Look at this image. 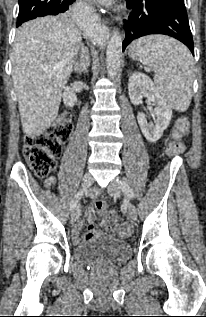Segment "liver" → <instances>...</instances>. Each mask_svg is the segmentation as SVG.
<instances>
[{
	"mask_svg": "<svg viewBox=\"0 0 206 317\" xmlns=\"http://www.w3.org/2000/svg\"><path fill=\"white\" fill-rule=\"evenodd\" d=\"M81 45L80 31L66 15L37 18L18 29L12 80L28 137L40 135L55 120Z\"/></svg>",
	"mask_w": 206,
	"mask_h": 317,
	"instance_id": "6515ba94",
	"label": "liver"
}]
</instances>
